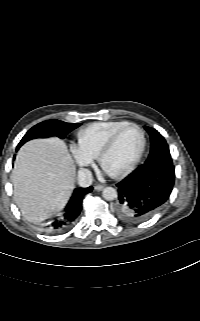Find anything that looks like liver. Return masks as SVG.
<instances>
[{"label": "liver", "mask_w": 200, "mask_h": 321, "mask_svg": "<svg viewBox=\"0 0 200 321\" xmlns=\"http://www.w3.org/2000/svg\"><path fill=\"white\" fill-rule=\"evenodd\" d=\"M76 168L58 138L35 139L18 151L12 171L14 200L30 221L60 212L74 189Z\"/></svg>", "instance_id": "obj_1"}]
</instances>
